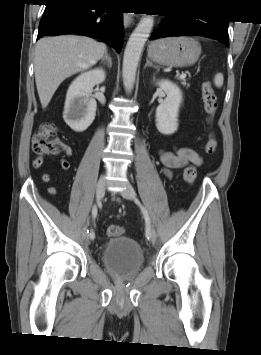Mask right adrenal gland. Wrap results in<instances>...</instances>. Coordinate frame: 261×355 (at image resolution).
Here are the masks:
<instances>
[{"label":"right adrenal gland","mask_w":261,"mask_h":355,"mask_svg":"<svg viewBox=\"0 0 261 355\" xmlns=\"http://www.w3.org/2000/svg\"><path fill=\"white\" fill-rule=\"evenodd\" d=\"M101 62L104 63V64H107V66H108L109 68L112 67V59H111V57L108 55V52H107V51L105 52L104 56L102 57Z\"/></svg>","instance_id":"obj_1"}]
</instances>
